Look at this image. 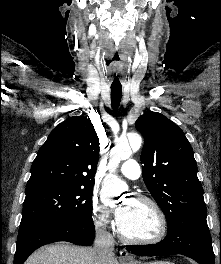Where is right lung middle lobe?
Returning <instances> with one entry per match:
<instances>
[{"mask_svg":"<svg viewBox=\"0 0 221 264\" xmlns=\"http://www.w3.org/2000/svg\"><path fill=\"white\" fill-rule=\"evenodd\" d=\"M93 186L49 184L26 190L20 226L30 223L75 224L92 221Z\"/></svg>","mask_w":221,"mask_h":264,"instance_id":"1","label":"right lung middle lobe"}]
</instances>
